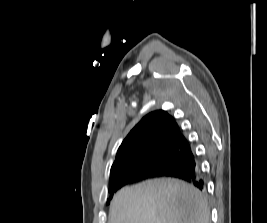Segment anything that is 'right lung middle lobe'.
<instances>
[{"instance_id": "right-lung-middle-lobe-1", "label": "right lung middle lobe", "mask_w": 267, "mask_h": 223, "mask_svg": "<svg viewBox=\"0 0 267 223\" xmlns=\"http://www.w3.org/2000/svg\"><path fill=\"white\" fill-rule=\"evenodd\" d=\"M183 148L167 146L160 150L157 155L145 160L132 161L125 165L126 172L135 170H150L152 172L163 173L168 171L176 162L185 155ZM113 194L110 195V199Z\"/></svg>"}]
</instances>
